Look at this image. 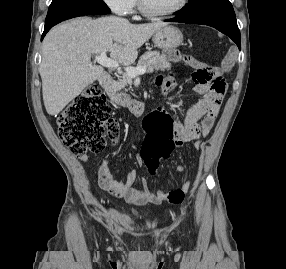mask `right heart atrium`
Segmentation results:
<instances>
[{
  "instance_id": "1",
  "label": "right heart atrium",
  "mask_w": 286,
  "mask_h": 269,
  "mask_svg": "<svg viewBox=\"0 0 286 269\" xmlns=\"http://www.w3.org/2000/svg\"><path fill=\"white\" fill-rule=\"evenodd\" d=\"M105 5L115 14L127 16L132 13L134 0H103Z\"/></svg>"
}]
</instances>
